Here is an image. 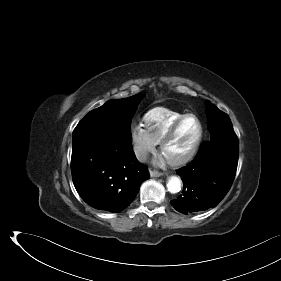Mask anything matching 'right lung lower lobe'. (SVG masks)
<instances>
[{
  "instance_id": "obj_1",
  "label": "right lung lower lobe",
  "mask_w": 281,
  "mask_h": 281,
  "mask_svg": "<svg viewBox=\"0 0 281 281\" xmlns=\"http://www.w3.org/2000/svg\"><path fill=\"white\" fill-rule=\"evenodd\" d=\"M71 172L80 197L91 207L108 212L125 209L149 178L131 143L119 141L72 149Z\"/></svg>"
}]
</instances>
